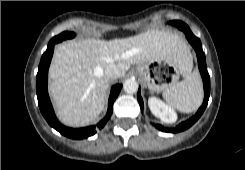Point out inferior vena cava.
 <instances>
[{
    "label": "inferior vena cava",
    "mask_w": 245,
    "mask_h": 170,
    "mask_svg": "<svg viewBox=\"0 0 245 170\" xmlns=\"http://www.w3.org/2000/svg\"><path fill=\"white\" fill-rule=\"evenodd\" d=\"M104 74L109 78V79H116L119 77V70L116 66L114 65H109L105 71Z\"/></svg>",
    "instance_id": "obj_1"
}]
</instances>
